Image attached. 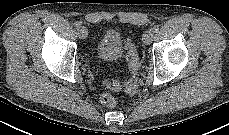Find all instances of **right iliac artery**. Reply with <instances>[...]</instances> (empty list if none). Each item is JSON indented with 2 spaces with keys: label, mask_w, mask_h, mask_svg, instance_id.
<instances>
[{
  "label": "right iliac artery",
  "mask_w": 229,
  "mask_h": 135,
  "mask_svg": "<svg viewBox=\"0 0 229 135\" xmlns=\"http://www.w3.org/2000/svg\"><path fill=\"white\" fill-rule=\"evenodd\" d=\"M74 26H75L77 29H79V28L81 27V23L77 21V22L74 23Z\"/></svg>",
  "instance_id": "82829eb1"
}]
</instances>
